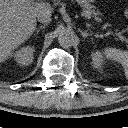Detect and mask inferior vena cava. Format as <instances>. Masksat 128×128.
<instances>
[{"label": "inferior vena cava", "mask_w": 128, "mask_h": 128, "mask_svg": "<svg viewBox=\"0 0 128 128\" xmlns=\"http://www.w3.org/2000/svg\"><path fill=\"white\" fill-rule=\"evenodd\" d=\"M51 10H45L37 15V19L40 23H49L51 21Z\"/></svg>", "instance_id": "1"}]
</instances>
